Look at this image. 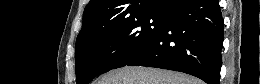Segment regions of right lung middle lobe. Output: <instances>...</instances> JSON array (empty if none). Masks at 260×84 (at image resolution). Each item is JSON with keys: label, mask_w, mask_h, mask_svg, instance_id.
<instances>
[{"label": "right lung middle lobe", "mask_w": 260, "mask_h": 84, "mask_svg": "<svg viewBox=\"0 0 260 84\" xmlns=\"http://www.w3.org/2000/svg\"><path fill=\"white\" fill-rule=\"evenodd\" d=\"M167 14L143 13L97 27L90 38L76 43V83L127 65L143 53L166 25Z\"/></svg>", "instance_id": "1"}]
</instances>
